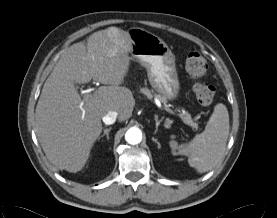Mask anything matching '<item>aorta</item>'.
<instances>
[{"instance_id":"762f6f07","label":"aorta","mask_w":277,"mask_h":218,"mask_svg":"<svg viewBox=\"0 0 277 218\" xmlns=\"http://www.w3.org/2000/svg\"><path fill=\"white\" fill-rule=\"evenodd\" d=\"M125 140L131 145L139 144L142 140L141 130L137 127L128 129L125 134Z\"/></svg>"}]
</instances>
